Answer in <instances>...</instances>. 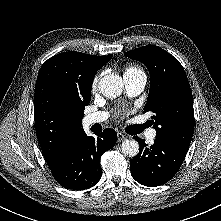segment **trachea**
Wrapping results in <instances>:
<instances>
[{"instance_id": "1", "label": "trachea", "mask_w": 221, "mask_h": 221, "mask_svg": "<svg viewBox=\"0 0 221 221\" xmlns=\"http://www.w3.org/2000/svg\"><path fill=\"white\" fill-rule=\"evenodd\" d=\"M147 127L146 124L142 125H133L129 128L131 134H139Z\"/></svg>"}]
</instances>
